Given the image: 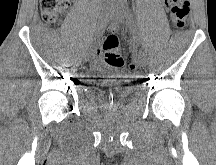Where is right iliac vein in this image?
I'll return each mask as SVG.
<instances>
[{
    "label": "right iliac vein",
    "mask_w": 216,
    "mask_h": 165,
    "mask_svg": "<svg viewBox=\"0 0 216 165\" xmlns=\"http://www.w3.org/2000/svg\"><path fill=\"white\" fill-rule=\"evenodd\" d=\"M107 7L104 9V11L100 14V16H99V24H98V26L106 19V17H107ZM90 55H91V52H89L88 54H86V57H84V62L86 63V64H89L90 63V60H89V57H90Z\"/></svg>",
    "instance_id": "right-iliac-vein-1"
}]
</instances>
